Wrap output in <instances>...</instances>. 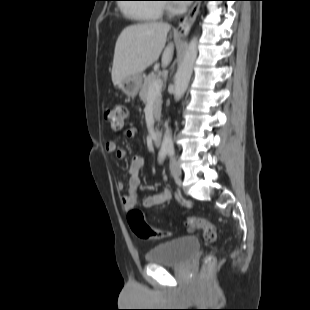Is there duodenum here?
Instances as JSON below:
<instances>
[{
  "label": "duodenum",
  "mask_w": 310,
  "mask_h": 310,
  "mask_svg": "<svg viewBox=\"0 0 310 310\" xmlns=\"http://www.w3.org/2000/svg\"><path fill=\"white\" fill-rule=\"evenodd\" d=\"M163 133L162 131L156 130L152 133L151 139L154 146H160L162 142Z\"/></svg>",
  "instance_id": "obj_1"
}]
</instances>
